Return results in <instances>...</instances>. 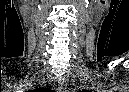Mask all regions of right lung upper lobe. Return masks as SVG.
<instances>
[{
	"label": "right lung upper lobe",
	"instance_id": "right-lung-upper-lobe-1",
	"mask_svg": "<svg viewBox=\"0 0 129 92\" xmlns=\"http://www.w3.org/2000/svg\"><path fill=\"white\" fill-rule=\"evenodd\" d=\"M36 91H39V90H30V92H36Z\"/></svg>",
	"mask_w": 129,
	"mask_h": 92
}]
</instances>
